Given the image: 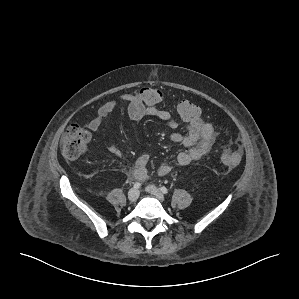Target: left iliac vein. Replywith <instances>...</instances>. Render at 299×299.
Wrapping results in <instances>:
<instances>
[{
  "label": "left iliac vein",
  "mask_w": 299,
  "mask_h": 299,
  "mask_svg": "<svg viewBox=\"0 0 299 299\" xmlns=\"http://www.w3.org/2000/svg\"><path fill=\"white\" fill-rule=\"evenodd\" d=\"M146 190L154 195L156 198H158L161 201H164L165 197L163 193L154 185H149L146 187Z\"/></svg>",
  "instance_id": "1"
}]
</instances>
